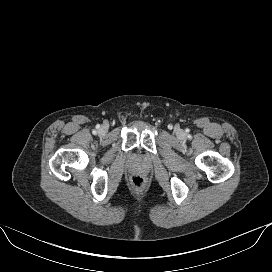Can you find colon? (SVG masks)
Wrapping results in <instances>:
<instances>
[{
	"mask_svg": "<svg viewBox=\"0 0 272 272\" xmlns=\"http://www.w3.org/2000/svg\"><path fill=\"white\" fill-rule=\"evenodd\" d=\"M146 180L141 175H133L130 178V184L135 189H142L145 186Z\"/></svg>",
	"mask_w": 272,
	"mask_h": 272,
	"instance_id": "1",
	"label": "colon"
}]
</instances>
